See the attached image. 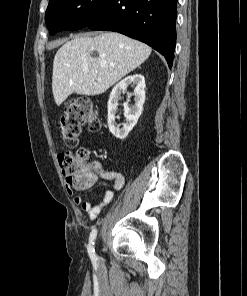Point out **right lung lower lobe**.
<instances>
[{
  "label": "right lung lower lobe",
  "instance_id": "right-lung-lower-lobe-1",
  "mask_svg": "<svg viewBox=\"0 0 247 296\" xmlns=\"http://www.w3.org/2000/svg\"><path fill=\"white\" fill-rule=\"evenodd\" d=\"M177 0H104L86 26L140 40L160 52L171 68L176 44Z\"/></svg>",
  "mask_w": 247,
  "mask_h": 296
}]
</instances>
